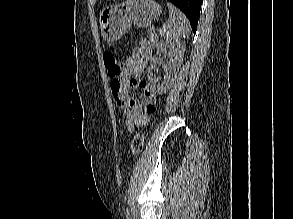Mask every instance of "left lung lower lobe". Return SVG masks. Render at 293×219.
<instances>
[{"instance_id":"0a47b994","label":"left lung lower lobe","mask_w":293,"mask_h":219,"mask_svg":"<svg viewBox=\"0 0 293 219\" xmlns=\"http://www.w3.org/2000/svg\"><path fill=\"white\" fill-rule=\"evenodd\" d=\"M179 9H181L188 17L193 32L197 30V23L200 16L202 0H168Z\"/></svg>"}]
</instances>
